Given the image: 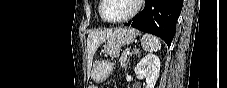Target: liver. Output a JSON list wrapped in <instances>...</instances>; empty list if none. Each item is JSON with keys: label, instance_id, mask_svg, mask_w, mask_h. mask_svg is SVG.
Listing matches in <instances>:
<instances>
[{"label": "liver", "instance_id": "obj_1", "mask_svg": "<svg viewBox=\"0 0 227 88\" xmlns=\"http://www.w3.org/2000/svg\"><path fill=\"white\" fill-rule=\"evenodd\" d=\"M113 32L111 30H96L89 33L87 38V52H88V59L91 63L93 60V56L98 49V47L106 41Z\"/></svg>", "mask_w": 227, "mask_h": 88}]
</instances>
